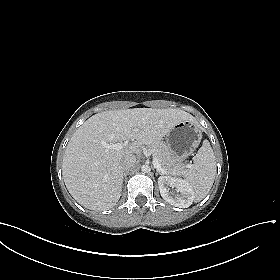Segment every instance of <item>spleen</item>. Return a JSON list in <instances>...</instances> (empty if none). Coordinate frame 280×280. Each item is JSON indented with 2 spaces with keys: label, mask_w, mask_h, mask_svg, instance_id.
Masks as SVG:
<instances>
[{
  "label": "spleen",
  "mask_w": 280,
  "mask_h": 280,
  "mask_svg": "<svg viewBox=\"0 0 280 280\" xmlns=\"http://www.w3.org/2000/svg\"><path fill=\"white\" fill-rule=\"evenodd\" d=\"M193 160L194 163L183 175L195 192V200L199 202L209 193L217 170L215 155L208 140L203 141Z\"/></svg>",
  "instance_id": "3e777b00"
}]
</instances>
